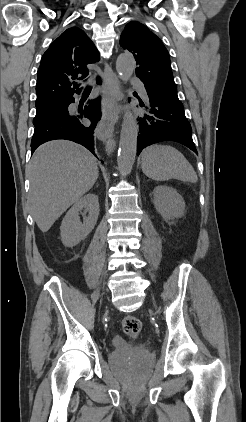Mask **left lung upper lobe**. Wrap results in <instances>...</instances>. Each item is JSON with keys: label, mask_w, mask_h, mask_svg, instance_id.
<instances>
[{"label": "left lung upper lobe", "mask_w": 246, "mask_h": 422, "mask_svg": "<svg viewBox=\"0 0 246 422\" xmlns=\"http://www.w3.org/2000/svg\"><path fill=\"white\" fill-rule=\"evenodd\" d=\"M120 46L132 52L137 68L136 76L160 97L182 105L177 96L170 57L164 44L145 25L133 21L126 25L120 37Z\"/></svg>", "instance_id": "left-lung-upper-lobe-1"}]
</instances>
